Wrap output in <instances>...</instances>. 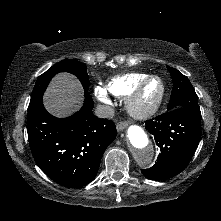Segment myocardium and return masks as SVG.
<instances>
[{"label": "myocardium", "instance_id": "obj_1", "mask_svg": "<svg viewBox=\"0 0 221 221\" xmlns=\"http://www.w3.org/2000/svg\"><path fill=\"white\" fill-rule=\"evenodd\" d=\"M153 79H157L161 84V91L158 98L150 105L143 106L140 102L142 92L147 83ZM166 92V85L163 79L158 75H148L142 79L133 91L127 96L126 109L128 113L137 119H145L153 116L161 107Z\"/></svg>", "mask_w": 221, "mask_h": 221}]
</instances>
